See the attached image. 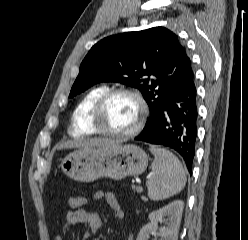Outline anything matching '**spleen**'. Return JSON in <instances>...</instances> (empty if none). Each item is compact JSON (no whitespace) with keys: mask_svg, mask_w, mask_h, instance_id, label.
Returning <instances> with one entry per match:
<instances>
[{"mask_svg":"<svg viewBox=\"0 0 248 240\" xmlns=\"http://www.w3.org/2000/svg\"><path fill=\"white\" fill-rule=\"evenodd\" d=\"M150 151L155 158L146 182L149 198L160 201L178 194L185 187L187 180L181 162L165 148L151 146Z\"/></svg>","mask_w":248,"mask_h":240,"instance_id":"spleen-1","label":"spleen"}]
</instances>
